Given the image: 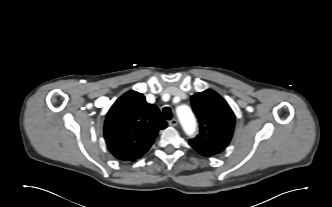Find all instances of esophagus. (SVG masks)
Returning <instances> with one entry per match:
<instances>
[{
	"label": "esophagus",
	"mask_w": 332,
	"mask_h": 207,
	"mask_svg": "<svg viewBox=\"0 0 332 207\" xmlns=\"http://www.w3.org/2000/svg\"><path fill=\"white\" fill-rule=\"evenodd\" d=\"M169 125L172 127H175L178 125V120L176 118H173L169 121Z\"/></svg>",
	"instance_id": "obj_1"
}]
</instances>
